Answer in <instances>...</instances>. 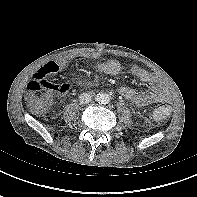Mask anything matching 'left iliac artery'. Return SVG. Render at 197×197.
Wrapping results in <instances>:
<instances>
[{
    "label": "left iliac artery",
    "mask_w": 197,
    "mask_h": 197,
    "mask_svg": "<svg viewBox=\"0 0 197 197\" xmlns=\"http://www.w3.org/2000/svg\"><path fill=\"white\" fill-rule=\"evenodd\" d=\"M109 101H110V97H106L103 104H107V103H109Z\"/></svg>",
    "instance_id": "obj_1"
}]
</instances>
